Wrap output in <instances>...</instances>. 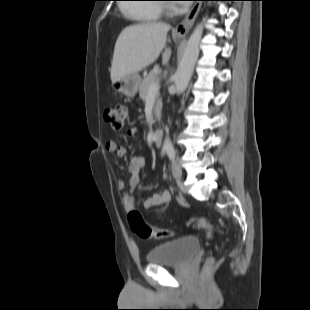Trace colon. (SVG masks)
<instances>
[{
	"label": "colon",
	"mask_w": 310,
	"mask_h": 310,
	"mask_svg": "<svg viewBox=\"0 0 310 310\" xmlns=\"http://www.w3.org/2000/svg\"><path fill=\"white\" fill-rule=\"evenodd\" d=\"M125 116L126 107L122 104L107 108L104 113L105 121L110 124L113 129L116 130L122 128ZM128 220L131 229L143 239H166L172 237L174 234L171 230H155L149 228L145 224L141 214L137 210L129 212ZM191 223H195L199 228L204 229L209 237L213 236V228L211 224L205 219L200 218L196 220H191ZM211 262V260H208V267H210Z\"/></svg>",
	"instance_id": "obj_1"
}]
</instances>
